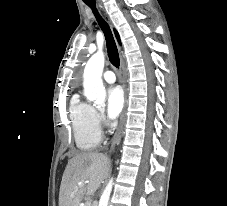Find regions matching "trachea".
<instances>
[{
  "mask_svg": "<svg viewBox=\"0 0 227 206\" xmlns=\"http://www.w3.org/2000/svg\"><path fill=\"white\" fill-rule=\"evenodd\" d=\"M86 4L93 10V13L95 14L96 19L105 35L109 60L113 66L118 68L120 65V59H119L118 49H117L115 40L113 38L112 32L108 24L105 22V20L99 15L96 9L95 1L94 0H90L88 2L86 1Z\"/></svg>",
  "mask_w": 227,
  "mask_h": 206,
  "instance_id": "trachea-1",
  "label": "trachea"
}]
</instances>
